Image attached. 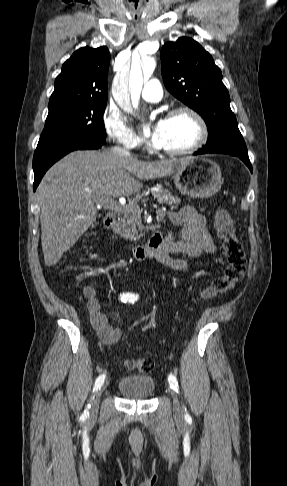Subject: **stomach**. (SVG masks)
<instances>
[{"instance_id": "obj_1", "label": "stomach", "mask_w": 287, "mask_h": 486, "mask_svg": "<svg viewBox=\"0 0 287 486\" xmlns=\"http://www.w3.org/2000/svg\"><path fill=\"white\" fill-rule=\"evenodd\" d=\"M176 188L184 195L208 198L215 195L223 184L219 165L205 158H191L173 173Z\"/></svg>"}]
</instances>
